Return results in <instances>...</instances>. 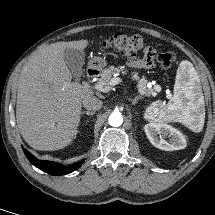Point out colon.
<instances>
[{
    "label": "colon",
    "instance_id": "1",
    "mask_svg": "<svg viewBox=\"0 0 215 215\" xmlns=\"http://www.w3.org/2000/svg\"><path fill=\"white\" fill-rule=\"evenodd\" d=\"M100 47L113 49L122 55L135 57L143 49L144 40L139 35L115 34L99 43ZM158 61L163 68H169L175 61L173 52H163L158 56Z\"/></svg>",
    "mask_w": 215,
    "mask_h": 215
}]
</instances>
